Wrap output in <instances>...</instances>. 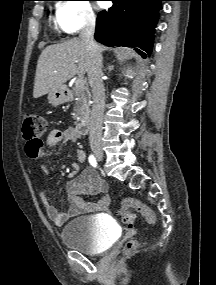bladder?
<instances>
[{"mask_svg": "<svg viewBox=\"0 0 216 285\" xmlns=\"http://www.w3.org/2000/svg\"><path fill=\"white\" fill-rule=\"evenodd\" d=\"M62 243L84 254H100L117 238V228L100 216H82L66 223L61 230Z\"/></svg>", "mask_w": 216, "mask_h": 285, "instance_id": "1", "label": "bladder"}]
</instances>
